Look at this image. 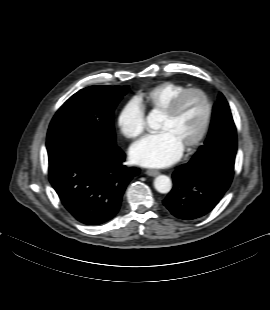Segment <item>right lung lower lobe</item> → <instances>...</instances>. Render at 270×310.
<instances>
[{
	"instance_id": "1",
	"label": "right lung lower lobe",
	"mask_w": 270,
	"mask_h": 310,
	"mask_svg": "<svg viewBox=\"0 0 270 310\" xmlns=\"http://www.w3.org/2000/svg\"><path fill=\"white\" fill-rule=\"evenodd\" d=\"M46 146L49 180L66 210L86 225L111 220L139 169L123 165L125 154L116 144L53 139Z\"/></svg>"
}]
</instances>
